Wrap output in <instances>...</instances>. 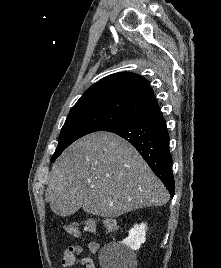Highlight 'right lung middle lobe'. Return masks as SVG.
Segmentation results:
<instances>
[{
    "instance_id": "dd1d6c3e",
    "label": "right lung middle lobe",
    "mask_w": 221,
    "mask_h": 268,
    "mask_svg": "<svg viewBox=\"0 0 221 268\" xmlns=\"http://www.w3.org/2000/svg\"><path fill=\"white\" fill-rule=\"evenodd\" d=\"M125 118L105 110H83L70 112L58 140V146L51 161L57 157L75 140L91 132L107 130L117 125Z\"/></svg>"
}]
</instances>
